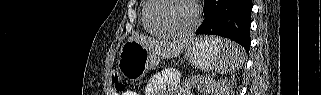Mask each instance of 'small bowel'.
<instances>
[{
	"instance_id": "c3829d8e",
	"label": "small bowel",
	"mask_w": 321,
	"mask_h": 95,
	"mask_svg": "<svg viewBox=\"0 0 321 95\" xmlns=\"http://www.w3.org/2000/svg\"><path fill=\"white\" fill-rule=\"evenodd\" d=\"M152 85V84H151ZM149 94H153V95H165V93H152V92H150ZM124 95H136L135 93H133V92H126V93H124ZM187 95H191V93H189V94H187Z\"/></svg>"
}]
</instances>
